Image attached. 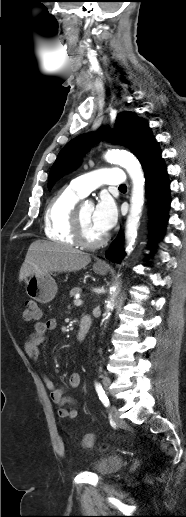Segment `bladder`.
<instances>
[{
  "mask_svg": "<svg viewBox=\"0 0 186 517\" xmlns=\"http://www.w3.org/2000/svg\"><path fill=\"white\" fill-rule=\"evenodd\" d=\"M124 464L121 456H108L100 460L96 466V473L99 475H109L119 470Z\"/></svg>",
  "mask_w": 186,
  "mask_h": 517,
  "instance_id": "bladder-1",
  "label": "bladder"
}]
</instances>
